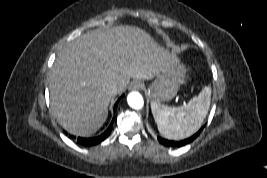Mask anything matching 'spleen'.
<instances>
[{"label": "spleen", "instance_id": "obj_1", "mask_svg": "<svg viewBox=\"0 0 267 178\" xmlns=\"http://www.w3.org/2000/svg\"><path fill=\"white\" fill-rule=\"evenodd\" d=\"M211 87L205 86L187 105L169 107L151 102V110L158 130L165 138L179 140L196 133L210 107Z\"/></svg>", "mask_w": 267, "mask_h": 178}]
</instances>
